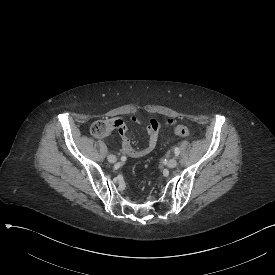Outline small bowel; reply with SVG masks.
Listing matches in <instances>:
<instances>
[{"mask_svg":"<svg viewBox=\"0 0 275 275\" xmlns=\"http://www.w3.org/2000/svg\"><path fill=\"white\" fill-rule=\"evenodd\" d=\"M131 121L133 123H136L138 121V118L136 116H133L131 118ZM112 123L115 127L118 128V135L121 137V146L124 152L132 157V158H141L148 154H150L152 151H154L158 145L159 142V134L156 131L160 128V123L158 121H154L152 118L146 119V124L149 125V128L145 129V134L148 135V140L146 145L143 148H134L132 145V142L130 140L129 136L127 135V128L125 127V122L123 119L119 116H116L113 118ZM169 124H173L172 121L169 122Z\"/></svg>","mask_w":275,"mask_h":275,"instance_id":"c3829d8e","label":"small bowel"}]
</instances>
